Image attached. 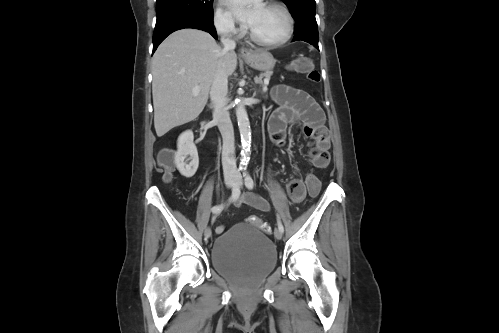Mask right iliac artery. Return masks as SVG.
<instances>
[{"label":"right iliac artery","mask_w":499,"mask_h":333,"mask_svg":"<svg viewBox=\"0 0 499 333\" xmlns=\"http://www.w3.org/2000/svg\"><path fill=\"white\" fill-rule=\"evenodd\" d=\"M239 196H240V189L236 184H234V186L232 188L231 197L229 198V202L235 201ZM223 208H224V205L221 204V205H217V206L212 207L211 210H212L214 215H217L223 210Z\"/></svg>","instance_id":"82829eb1"}]
</instances>
